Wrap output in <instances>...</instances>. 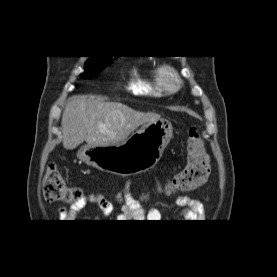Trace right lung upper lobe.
<instances>
[{
  "mask_svg": "<svg viewBox=\"0 0 277 277\" xmlns=\"http://www.w3.org/2000/svg\"><path fill=\"white\" fill-rule=\"evenodd\" d=\"M90 59H104V60H110L111 58L109 56H97V57H91Z\"/></svg>",
  "mask_w": 277,
  "mask_h": 277,
  "instance_id": "cb5924a9",
  "label": "right lung upper lobe"
}]
</instances>
